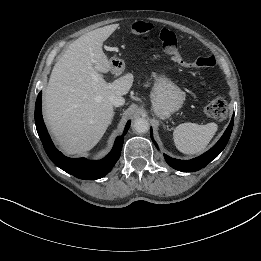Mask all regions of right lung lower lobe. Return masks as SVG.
<instances>
[{
	"label": "right lung lower lobe",
	"instance_id": "98d812e1",
	"mask_svg": "<svg viewBox=\"0 0 261 261\" xmlns=\"http://www.w3.org/2000/svg\"><path fill=\"white\" fill-rule=\"evenodd\" d=\"M41 95L42 93L40 92L35 104V124L44 149L51 161L65 172L80 179L95 180L108 174L120 157L124 139L123 136L117 137L112 151L100 161L89 162L85 158L65 157L53 145L43 122L41 112ZM130 123L131 121H128L126 124L123 135L127 133Z\"/></svg>",
	"mask_w": 261,
	"mask_h": 261
}]
</instances>
